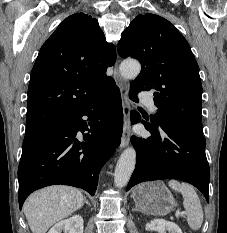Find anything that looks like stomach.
<instances>
[{"label":"stomach","instance_id":"obj_1","mask_svg":"<svg viewBox=\"0 0 227 233\" xmlns=\"http://www.w3.org/2000/svg\"><path fill=\"white\" fill-rule=\"evenodd\" d=\"M132 197L143 213L151 215H166L176 206L170 190L162 182H147L137 186Z\"/></svg>","mask_w":227,"mask_h":233}]
</instances>
